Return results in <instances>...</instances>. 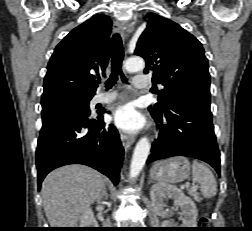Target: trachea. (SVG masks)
I'll use <instances>...</instances> for the list:
<instances>
[{
    "label": "trachea",
    "instance_id": "1",
    "mask_svg": "<svg viewBox=\"0 0 252 231\" xmlns=\"http://www.w3.org/2000/svg\"><path fill=\"white\" fill-rule=\"evenodd\" d=\"M124 57L122 40L119 34H114L112 37V60H111V75L110 78L105 82V86L107 89H110L116 81L118 80V76L120 75L122 81L127 83V79L122 72V61ZM98 83H100L98 81Z\"/></svg>",
    "mask_w": 252,
    "mask_h": 231
}]
</instances>
